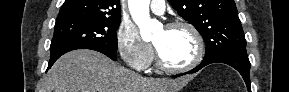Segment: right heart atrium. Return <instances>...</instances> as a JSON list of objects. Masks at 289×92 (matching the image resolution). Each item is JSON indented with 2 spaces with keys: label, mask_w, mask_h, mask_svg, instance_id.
Here are the masks:
<instances>
[{
  "label": "right heart atrium",
  "mask_w": 289,
  "mask_h": 92,
  "mask_svg": "<svg viewBox=\"0 0 289 92\" xmlns=\"http://www.w3.org/2000/svg\"><path fill=\"white\" fill-rule=\"evenodd\" d=\"M118 51L125 63L135 70H145L152 63L154 54L151 46L144 42L136 27L123 22L116 34Z\"/></svg>",
  "instance_id": "d8ad5b80"
}]
</instances>
